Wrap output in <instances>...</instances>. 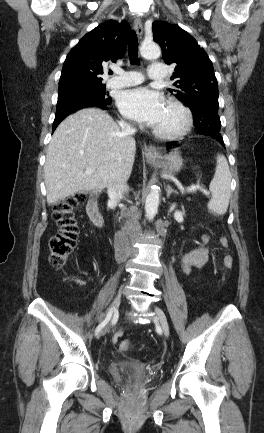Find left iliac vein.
<instances>
[{
    "label": "left iliac vein",
    "instance_id": "1",
    "mask_svg": "<svg viewBox=\"0 0 264 433\" xmlns=\"http://www.w3.org/2000/svg\"><path fill=\"white\" fill-rule=\"evenodd\" d=\"M155 313H156V317L158 319V322L161 325V328L164 332V335L166 337H168L169 336V326H168V322H167V319H166L164 312L160 308L155 307Z\"/></svg>",
    "mask_w": 264,
    "mask_h": 433
}]
</instances>
